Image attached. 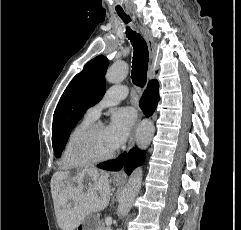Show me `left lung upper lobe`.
I'll list each match as a JSON object with an SVG mask.
<instances>
[{
    "label": "left lung upper lobe",
    "mask_w": 241,
    "mask_h": 230,
    "mask_svg": "<svg viewBox=\"0 0 241 230\" xmlns=\"http://www.w3.org/2000/svg\"><path fill=\"white\" fill-rule=\"evenodd\" d=\"M108 65L105 56L95 57L73 78L61 96L52 125V146L56 157L60 156L70 132L85 111L103 97Z\"/></svg>",
    "instance_id": "left-lung-upper-lobe-1"
}]
</instances>
